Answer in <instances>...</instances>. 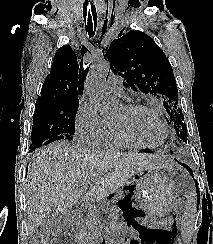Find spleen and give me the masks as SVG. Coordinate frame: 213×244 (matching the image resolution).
<instances>
[{
  "label": "spleen",
  "instance_id": "obj_1",
  "mask_svg": "<svg viewBox=\"0 0 213 244\" xmlns=\"http://www.w3.org/2000/svg\"><path fill=\"white\" fill-rule=\"evenodd\" d=\"M196 201L197 200L195 191H189L186 196V203L184 206V212L181 219V234L185 243H189L193 235L197 209Z\"/></svg>",
  "mask_w": 213,
  "mask_h": 244
}]
</instances>
